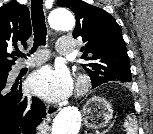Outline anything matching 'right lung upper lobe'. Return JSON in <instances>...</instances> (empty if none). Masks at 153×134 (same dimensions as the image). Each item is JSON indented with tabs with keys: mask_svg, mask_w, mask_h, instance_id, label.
I'll return each instance as SVG.
<instances>
[{
	"mask_svg": "<svg viewBox=\"0 0 153 134\" xmlns=\"http://www.w3.org/2000/svg\"><path fill=\"white\" fill-rule=\"evenodd\" d=\"M30 35L31 22L26 6L12 1L0 7V71L11 69L16 60L7 50L17 44L26 46Z\"/></svg>",
	"mask_w": 153,
	"mask_h": 134,
	"instance_id": "obj_1",
	"label": "right lung upper lobe"
}]
</instances>
